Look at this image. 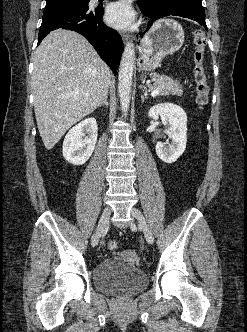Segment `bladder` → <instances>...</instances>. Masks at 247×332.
Here are the masks:
<instances>
[{"label": "bladder", "mask_w": 247, "mask_h": 332, "mask_svg": "<svg viewBox=\"0 0 247 332\" xmlns=\"http://www.w3.org/2000/svg\"><path fill=\"white\" fill-rule=\"evenodd\" d=\"M92 280L99 291L119 297L132 296L148 284L147 274L130 250L116 252L98 262L93 268Z\"/></svg>", "instance_id": "1"}]
</instances>
